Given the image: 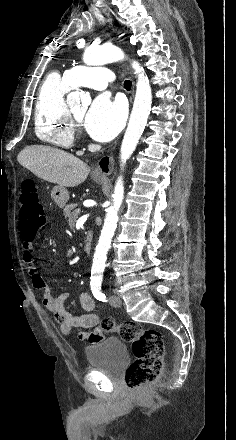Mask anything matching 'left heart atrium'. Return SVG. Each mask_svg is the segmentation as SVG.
Listing matches in <instances>:
<instances>
[{"mask_svg":"<svg viewBox=\"0 0 236 440\" xmlns=\"http://www.w3.org/2000/svg\"><path fill=\"white\" fill-rule=\"evenodd\" d=\"M125 120V109L120 101L107 95L98 96L85 116V128L95 140L107 142L121 130Z\"/></svg>","mask_w":236,"mask_h":440,"instance_id":"1","label":"left heart atrium"}]
</instances>
